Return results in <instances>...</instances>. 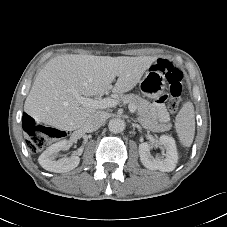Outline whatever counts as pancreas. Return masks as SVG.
I'll return each mask as SVG.
<instances>
[{
  "mask_svg": "<svg viewBox=\"0 0 227 227\" xmlns=\"http://www.w3.org/2000/svg\"><path fill=\"white\" fill-rule=\"evenodd\" d=\"M118 99L124 104L135 105L138 115L137 121L141 124L143 128L152 132H164L171 129L172 125L170 123L160 124L156 120L150 118L147 113L148 102L140 96L134 94H120Z\"/></svg>",
  "mask_w": 227,
  "mask_h": 227,
  "instance_id": "obj_1",
  "label": "pancreas"
}]
</instances>
